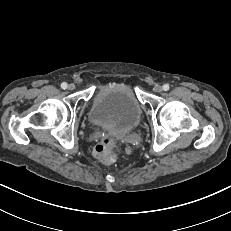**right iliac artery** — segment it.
Here are the masks:
<instances>
[{
  "instance_id": "obj_1",
  "label": "right iliac artery",
  "mask_w": 231,
  "mask_h": 231,
  "mask_svg": "<svg viewBox=\"0 0 231 231\" xmlns=\"http://www.w3.org/2000/svg\"><path fill=\"white\" fill-rule=\"evenodd\" d=\"M61 88H62V89H66V88H67V83H66V82H63V83L61 84Z\"/></svg>"
}]
</instances>
